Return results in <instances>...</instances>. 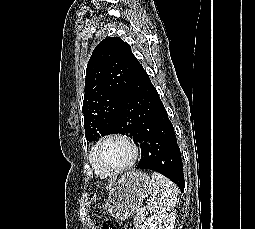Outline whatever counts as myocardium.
I'll return each mask as SVG.
<instances>
[{"label": "myocardium", "instance_id": "obj_1", "mask_svg": "<svg viewBox=\"0 0 255 229\" xmlns=\"http://www.w3.org/2000/svg\"><path fill=\"white\" fill-rule=\"evenodd\" d=\"M110 140H120V141L124 142L125 144H127L129 146V148L131 149V152H132L131 159L127 164H125L122 167L111 169V168H108V167L102 165L101 162L97 159V153H98L99 148L105 142L110 141ZM138 155H139L138 147H137L136 143L129 136H127L126 134H123V133L113 132V133H109V134L102 136L93 145V147L91 149V153H90V161L93 164H96L99 167H101L109 176H114V175H118V174H121V173L129 170L136 163V161L138 159Z\"/></svg>", "mask_w": 255, "mask_h": 229}]
</instances>
